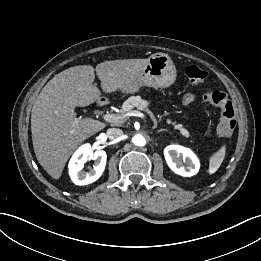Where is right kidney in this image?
Instances as JSON below:
<instances>
[{
    "mask_svg": "<svg viewBox=\"0 0 261 261\" xmlns=\"http://www.w3.org/2000/svg\"><path fill=\"white\" fill-rule=\"evenodd\" d=\"M106 152L99 150L93 152L90 144L80 146L69 162V175L76 185H87L95 182L102 175L106 165ZM88 159L94 160L93 169L89 172L82 171Z\"/></svg>",
    "mask_w": 261,
    "mask_h": 261,
    "instance_id": "right-kidney-1",
    "label": "right kidney"
}]
</instances>
